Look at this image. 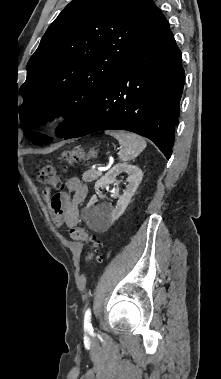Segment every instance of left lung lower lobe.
Segmentation results:
<instances>
[{"mask_svg":"<svg viewBox=\"0 0 221 379\" xmlns=\"http://www.w3.org/2000/svg\"><path fill=\"white\" fill-rule=\"evenodd\" d=\"M181 52L169 23L158 24L107 82L64 139L120 129L152 140L169 159L184 86Z\"/></svg>","mask_w":221,"mask_h":379,"instance_id":"obj_1","label":"left lung lower lobe"}]
</instances>
